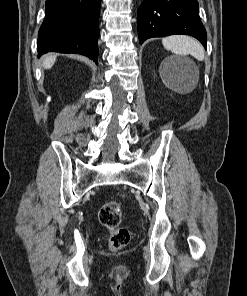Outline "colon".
Instances as JSON below:
<instances>
[{"label": "colon", "instance_id": "colon-1", "mask_svg": "<svg viewBox=\"0 0 247 296\" xmlns=\"http://www.w3.org/2000/svg\"><path fill=\"white\" fill-rule=\"evenodd\" d=\"M100 223L109 233V246L111 250L117 251L128 245L130 241V230L120 226L121 205L119 202L110 201L104 203L99 210Z\"/></svg>", "mask_w": 247, "mask_h": 296}]
</instances>
